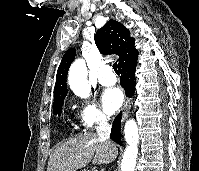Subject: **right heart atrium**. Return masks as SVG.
<instances>
[{
	"mask_svg": "<svg viewBox=\"0 0 199 171\" xmlns=\"http://www.w3.org/2000/svg\"><path fill=\"white\" fill-rule=\"evenodd\" d=\"M108 116L100 107L90 99H84L80 102L78 111V123L81 129L89 131L96 126L106 124Z\"/></svg>",
	"mask_w": 199,
	"mask_h": 171,
	"instance_id": "d8ad5b80",
	"label": "right heart atrium"
}]
</instances>
